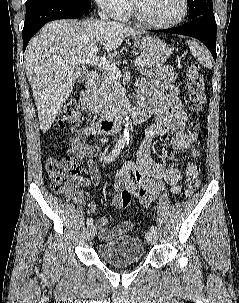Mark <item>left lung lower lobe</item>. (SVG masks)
I'll list each match as a JSON object with an SVG mask.
<instances>
[{
    "label": "left lung lower lobe",
    "instance_id": "obj_1",
    "mask_svg": "<svg viewBox=\"0 0 239 303\" xmlns=\"http://www.w3.org/2000/svg\"><path fill=\"white\" fill-rule=\"evenodd\" d=\"M216 31L217 26L214 15L199 16L177 28L158 30V32L182 34L199 39L207 46L215 60L217 56Z\"/></svg>",
    "mask_w": 239,
    "mask_h": 303
}]
</instances>
